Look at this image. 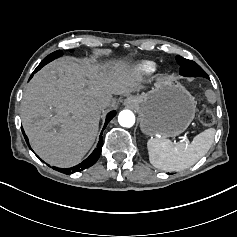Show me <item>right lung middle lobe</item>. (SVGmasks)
<instances>
[{
	"mask_svg": "<svg viewBox=\"0 0 237 237\" xmlns=\"http://www.w3.org/2000/svg\"><path fill=\"white\" fill-rule=\"evenodd\" d=\"M62 51L61 50H58V51H55L53 53H51L50 55H48L47 57H45L41 63L38 65V67L35 69V72H37L38 70H40L43 66H45L47 63L51 62L52 60L60 57L62 55Z\"/></svg>",
	"mask_w": 237,
	"mask_h": 237,
	"instance_id": "dd1d6c3e",
	"label": "right lung middle lobe"
}]
</instances>
